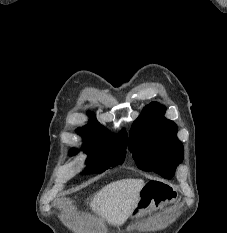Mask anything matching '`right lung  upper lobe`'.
I'll use <instances>...</instances> for the list:
<instances>
[{
	"mask_svg": "<svg viewBox=\"0 0 227 233\" xmlns=\"http://www.w3.org/2000/svg\"><path fill=\"white\" fill-rule=\"evenodd\" d=\"M77 133L83 136L85 142L84 145L98 144L107 139L116 138L122 142L126 149L127 133L124 130L121 131L118 135H112L95 119H92L91 122L83 128H78Z\"/></svg>",
	"mask_w": 227,
	"mask_h": 233,
	"instance_id": "1",
	"label": "right lung upper lobe"
}]
</instances>
